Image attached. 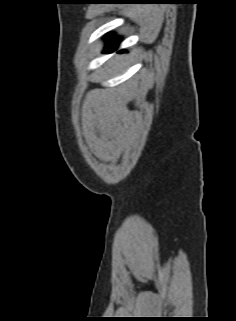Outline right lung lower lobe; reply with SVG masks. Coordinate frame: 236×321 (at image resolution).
<instances>
[{
    "label": "right lung lower lobe",
    "instance_id": "1",
    "mask_svg": "<svg viewBox=\"0 0 236 321\" xmlns=\"http://www.w3.org/2000/svg\"><path fill=\"white\" fill-rule=\"evenodd\" d=\"M111 37H112V34H109V35L106 36V38L109 39V42L107 43V45L105 47V49L107 51L114 50L117 47V45H118V43L120 41V39H118V38L117 39H113Z\"/></svg>",
    "mask_w": 236,
    "mask_h": 321
}]
</instances>
